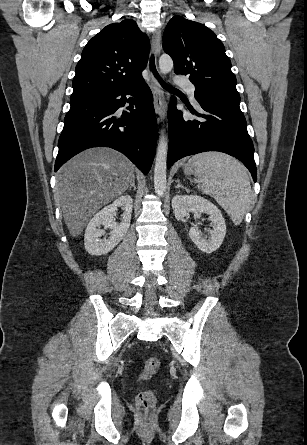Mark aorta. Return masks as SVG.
Listing matches in <instances>:
<instances>
[{
  "label": "aorta",
  "mask_w": 307,
  "mask_h": 445,
  "mask_svg": "<svg viewBox=\"0 0 307 445\" xmlns=\"http://www.w3.org/2000/svg\"><path fill=\"white\" fill-rule=\"evenodd\" d=\"M159 68L160 72L167 74L173 68V60L169 54H161L159 58ZM166 154H167V138L161 130V136L159 138L156 160L154 166V188L158 196H163L167 188V178H166Z\"/></svg>",
  "instance_id": "obj_1"
}]
</instances>
